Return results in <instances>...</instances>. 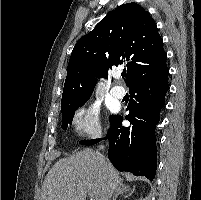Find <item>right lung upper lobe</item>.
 I'll list each match as a JSON object with an SVG mask.
<instances>
[{
	"label": "right lung upper lobe",
	"instance_id": "obj_1",
	"mask_svg": "<svg viewBox=\"0 0 201 200\" xmlns=\"http://www.w3.org/2000/svg\"><path fill=\"white\" fill-rule=\"evenodd\" d=\"M163 41L150 13L136 3L107 14L76 43L68 63L62 101L92 94L97 78L108 77L112 66L125 65L128 87L166 65Z\"/></svg>",
	"mask_w": 201,
	"mask_h": 200
}]
</instances>
